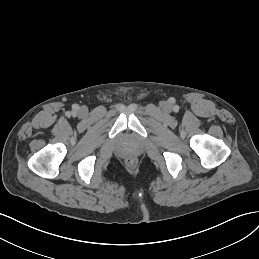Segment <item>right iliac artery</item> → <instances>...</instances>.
<instances>
[{
	"instance_id": "obj_1",
	"label": "right iliac artery",
	"mask_w": 259,
	"mask_h": 259,
	"mask_svg": "<svg viewBox=\"0 0 259 259\" xmlns=\"http://www.w3.org/2000/svg\"><path fill=\"white\" fill-rule=\"evenodd\" d=\"M74 109H76V110H77V109H78V106H77V105H74Z\"/></svg>"
}]
</instances>
